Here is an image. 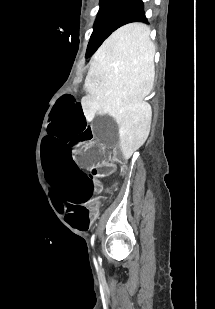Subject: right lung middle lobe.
<instances>
[{
  "label": "right lung middle lobe",
  "instance_id": "right-lung-middle-lobe-1",
  "mask_svg": "<svg viewBox=\"0 0 215 309\" xmlns=\"http://www.w3.org/2000/svg\"><path fill=\"white\" fill-rule=\"evenodd\" d=\"M134 0H100L98 18L94 24L86 57L91 56L102 42L118 28L123 14Z\"/></svg>",
  "mask_w": 215,
  "mask_h": 309
}]
</instances>
